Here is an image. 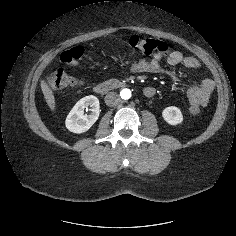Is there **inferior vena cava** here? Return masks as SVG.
Returning <instances> with one entry per match:
<instances>
[{"label":"inferior vena cava","mask_w":236,"mask_h":236,"mask_svg":"<svg viewBox=\"0 0 236 236\" xmlns=\"http://www.w3.org/2000/svg\"><path fill=\"white\" fill-rule=\"evenodd\" d=\"M120 102V97L116 92H109L105 96V103L108 106H116Z\"/></svg>","instance_id":"602c4592"}]
</instances>
